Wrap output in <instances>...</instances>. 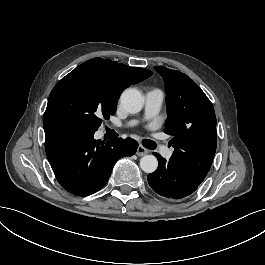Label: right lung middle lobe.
<instances>
[{
  "label": "right lung middle lobe",
  "mask_w": 265,
  "mask_h": 265,
  "mask_svg": "<svg viewBox=\"0 0 265 265\" xmlns=\"http://www.w3.org/2000/svg\"><path fill=\"white\" fill-rule=\"evenodd\" d=\"M121 92L98 65L85 62L55 85L44 121H62L94 133L102 118L115 113Z\"/></svg>",
  "instance_id": "obj_1"
}]
</instances>
